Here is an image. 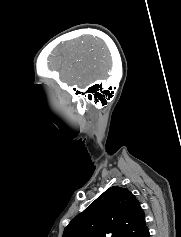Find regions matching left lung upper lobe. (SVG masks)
Returning a JSON list of instances; mask_svg holds the SVG:
<instances>
[{
    "label": "left lung upper lobe",
    "mask_w": 181,
    "mask_h": 237,
    "mask_svg": "<svg viewBox=\"0 0 181 237\" xmlns=\"http://www.w3.org/2000/svg\"><path fill=\"white\" fill-rule=\"evenodd\" d=\"M146 229L136 197L127 188L112 186L71 220L62 237H139Z\"/></svg>",
    "instance_id": "5c2ea615"
}]
</instances>
